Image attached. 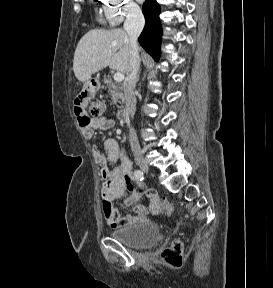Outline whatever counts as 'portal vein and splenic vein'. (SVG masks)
Instances as JSON below:
<instances>
[{
  "label": "portal vein and splenic vein",
  "instance_id": "18ae733b",
  "mask_svg": "<svg viewBox=\"0 0 273 288\" xmlns=\"http://www.w3.org/2000/svg\"><path fill=\"white\" fill-rule=\"evenodd\" d=\"M114 80L116 82H122L124 80V74L121 72H117L114 74Z\"/></svg>",
  "mask_w": 273,
  "mask_h": 288
}]
</instances>
